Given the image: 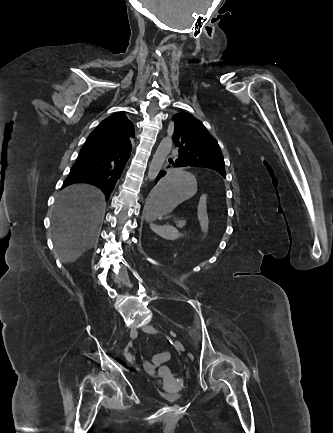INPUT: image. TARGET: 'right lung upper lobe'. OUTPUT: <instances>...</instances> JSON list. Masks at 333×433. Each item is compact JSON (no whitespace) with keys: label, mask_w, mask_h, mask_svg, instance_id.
<instances>
[{"label":"right lung upper lobe","mask_w":333,"mask_h":433,"mask_svg":"<svg viewBox=\"0 0 333 433\" xmlns=\"http://www.w3.org/2000/svg\"><path fill=\"white\" fill-rule=\"evenodd\" d=\"M134 125L123 112L104 119L87 138L95 142L98 151L124 149L131 146L134 137Z\"/></svg>","instance_id":"right-lung-upper-lobe-1"}]
</instances>
